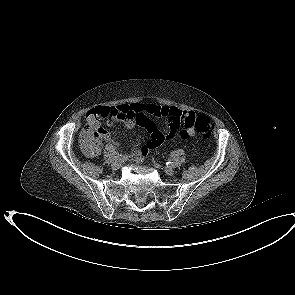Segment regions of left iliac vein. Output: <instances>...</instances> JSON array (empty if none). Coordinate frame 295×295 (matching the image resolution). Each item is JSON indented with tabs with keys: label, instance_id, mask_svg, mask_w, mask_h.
Wrapping results in <instances>:
<instances>
[{
	"label": "left iliac vein",
	"instance_id": "obj_1",
	"mask_svg": "<svg viewBox=\"0 0 295 295\" xmlns=\"http://www.w3.org/2000/svg\"><path fill=\"white\" fill-rule=\"evenodd\" d=\"M165 173L169 176H172L174 174V170L172 167H165Z\"/></svg>",
	"mask_w": 295,
	"mask_h": 295
}]
</instances>
